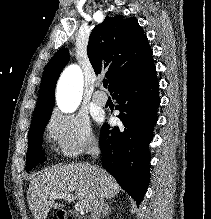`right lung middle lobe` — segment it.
Listing matches in <instances>:
<instances>
[{"mask_svg":"<svg viewBox=\"0 0 211 219\" xmlns=\"http://www.w3.org/2000/svg\"><path fill=\"white\" fill-rule=\"evenodd\" d=\"M51 113L34 116L28 135V151L26 156V171L45 161L42 151V135Z\"/></svg>","mask_w":211,"mask_h":219,"instance_id":"dd1d6c3e","label":"right lung middle lobe"}]
</instances>
